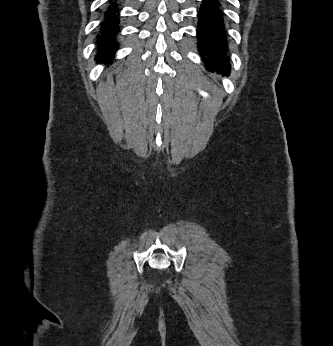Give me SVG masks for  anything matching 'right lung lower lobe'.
<instances>
[{
	"label": "right lung lower lobe",
	"instance_id": "right-lung-lower-lobe-1",
	"mask_svg": "<svg viewBox=\"0 0 333 346\" xmlns=\"http://www.w3.org/2000/svg\"><path fill=\"white\" fill-rule=\"evenodd\" d=\"M119 12L118 0H109L103 13V21L99 27V34L97 35V56L95 59L98 62L104 58L113 57L119 48L117 41V35L120 31Z\"/></svg>",
	"mask_w": 333,
	"mask_h": 346
}]
</instances>
